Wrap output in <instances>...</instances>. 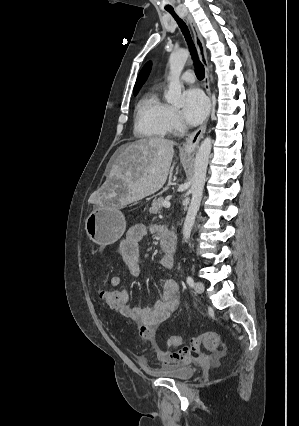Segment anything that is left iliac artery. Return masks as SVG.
Returning a JSON list of instances; mask_svg holds the SVG:
<instances>
[{
  "label": "left iliac artery",
  "mask_w": 299,
  "mask_h": 426,
  "mask_svg": "<svg viewBox=\"0 0 299 426\" xmlns=\"http://www.w3.org/2000/svg\"><path fill=\"white\" fill-rule=\"evenodd\" d=\"M187 284L193 288L194 287V280L191 276H187Z\"/></svg>",
  "instance_id": "1"
}]
</instances>
